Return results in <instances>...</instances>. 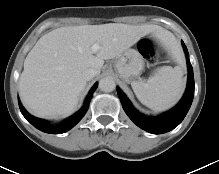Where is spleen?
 Here are the masks:
<instances>
[{
    "mask_svg": "<svg viewBox=\"0 0 219 174\" xmlns=\"http://www.w3.org/2000/svg\"><path fill=\"white\" fill-rule=\"evenodd\" d=\"M131 86L143 105L162 111L180 99L184 90L183 71L179 66L161 67L147 81H133Z\"/></svg>",
    "mask_w": 219,
    "mask_h": 174,
    "instance_id": "3e777b00",
    "label": "spleen"
}]
</instances>
